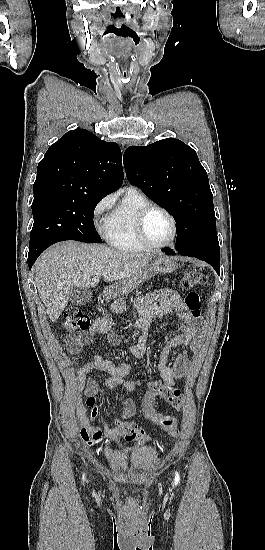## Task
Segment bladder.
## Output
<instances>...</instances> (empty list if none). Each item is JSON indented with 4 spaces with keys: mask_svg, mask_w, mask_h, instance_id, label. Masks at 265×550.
Wrapping results in <instances>:
<instances>
[{
    "mask_svg": "<svg viewBox=\"0 0 265 550\" xmlns=\"http://www.w3.org/2000/svg\"><path fill=\"white\" fill-rule=\"evenodd\" d=\"M114 455H126V456H130L131 455V449L129 448H116L114 450Z\"/></svg>",
    "mask_w": 265,
    "mask_h": 550,
    "instance_id": "31cf9c89",
    "label": "bladder"
}]
</instances>
